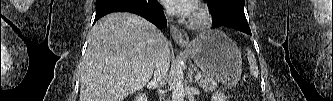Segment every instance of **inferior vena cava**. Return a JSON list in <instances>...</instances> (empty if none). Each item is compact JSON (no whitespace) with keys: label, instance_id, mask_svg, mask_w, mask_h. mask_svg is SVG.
<instances>
[{"label":"inferior vena cava","instance_id":"1","mask_svg":"<svg viewBox=\"0 0 333 101\" xmlns=\"http://www.w3.org/2000/svg\"><path fill=\"white\" fill-rule=\"evenodd\" d=\"M169 15L170 13L167 12ZM169 48L167 44H163V46L159 49L158 55L155 61V71H154V84L157 87H161L165 84V78L170 65V56H169Z\"/></svg>","mask_w":333,"mask_h":101}]
</instances>
